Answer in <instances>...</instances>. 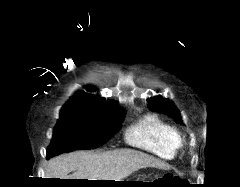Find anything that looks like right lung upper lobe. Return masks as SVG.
<instances>
[{
  "mask_svg": "<svg viewBox=\"0 0 240 187\" xmlns=\"http://www.w3.org/2000/svg\"><path fill=\"white\" fill-rule=\"evenodd\" d=\"M115 104L105 102L96 95L79 92L69 100L62 108L64 110L87 111L94 113H115Z\"/></svg>",
  "mask_w": 240,
  "mask_h": 187,
  "instance_id": "right-lung-upper-lobe-1",
  "label": "right lung upper lobe"
}]
</instances>
